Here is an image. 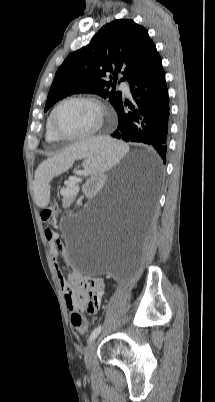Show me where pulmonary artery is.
Returning a JSON list of instances; mask_svg holds the SVG:
<instances>
[{"mask_svg":"<svg viewBox=\"0 0 215 402\" xmlns=\"http://www.w3.org/2000/svg\"><path fill=\"white\" fill-rule=\"evenodd\" d=\"M120 87L127 96H130V89L126 82H122Z\"/></svg>","mask_w":215,"mask_h":402,"instance_id":"pulmonary-artery-1","label":"pulmonary artery"}]
</instances>
